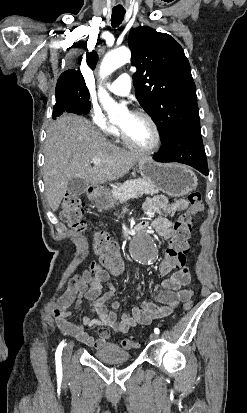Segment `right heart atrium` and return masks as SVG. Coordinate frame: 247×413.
I'll return each mask as SVG.
<instances>
[{
    "instance_id": "1",
    "label": "right heart atrium",
    "mask_w": 247,
    "mask_h": 413,
    "mask_svg": "<svg viewBox=\"0 0 247 413\" xmlns=\"http://www.w3.org/2000/svg\"><path fill=\"white\" fill-rule=\"evenodd\" d=\"M90 116L94 119V122L99 126V130L103 134H116L117 127L111 125L108 121L105 120L103 116V107L102 105H91L90 107Z\"/></svg>"
}]
</instances>
